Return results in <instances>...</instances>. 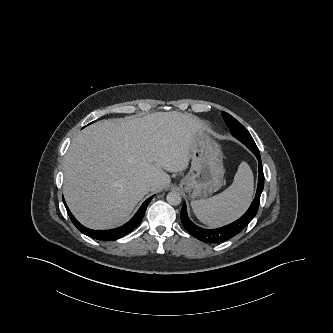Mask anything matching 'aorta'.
I'll list each match as a JSON object with an SVG mask.
<instances>
[{"label":"aorta","mask_w":333,"mask_h":333,"mask_svg":"<svg viewBox=\"0 0 333 333\" xmlns=\"http://www.w3.org/2000/svg\"><path fill=\"white\" fill-rule=\"evenodd\" d=\"M167 202L170 205L177 206L181 203V195L175 191L169 192L167 195Z\"/></svg>","instance_id":"1"}]
</instances>
